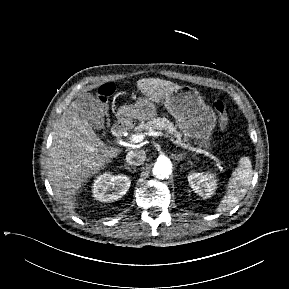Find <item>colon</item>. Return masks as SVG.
<instances>
[{
  "mask_svg": "<svg viewBox=\"0 0 289 289\" xmlns=\"http://www.w3.org/2000/svg\"><path fill=\"white\" fill-rule=\"evenodd\" d=\"M114 89L113 84L106 83L101 85L97 91V98L105 110L107 109L108 99L113 94ZM214 109L218 115L221 129L226 130L229 126V117L226 104L221 100H217L214 102Z\"/></svg>",
  "mask_w": 289,
  "mask_h": 289,
  "instance_id": "obj_1",
  "label": "colon"
}]
</instances>
